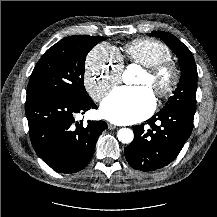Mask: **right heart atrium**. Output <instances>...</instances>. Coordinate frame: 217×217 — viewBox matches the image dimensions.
Returning a JSON list of instances; mask_svg holds the SVG:
<instances>
[{
    "label": "right heart atrium",
    "instance_id": "1",
    "mask_svg": "<svg viewBox=\"0 0 217 217\" xmlns=\"http://www.w3.org/2000/svg\"><path fill=\"white\" fill-rule=\"evenodd\" d=\"M122 61L114 47L96 45L86 58L84 86L95 101H101L121 79Z\"/></svg>",
    "mask_w": 217,
    "mask_h": 217
}]
</instances>
